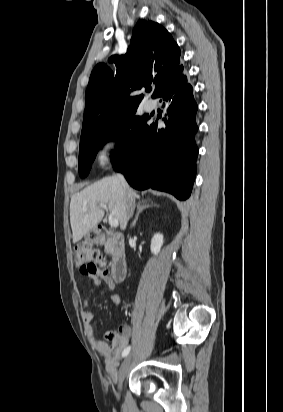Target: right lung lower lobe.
Here are the masks:
<instances>
[{
  "label": "right lung lower lobe",
  "instance_id": "1",
  "mask_svg": "<svg viewBox=\"0 0 283 412\" xmlns=\"http://www.w3.org/2000/svg\"><path fill=\"white\" fill-rule=\"evenodd\" d=\"M192 92L187 79L166 86L158 97L167 109L165 128L157 129L155 124L146 122L127 154L113 162L114 169L124 173L133 188L169 192L179 200L190 196L198 153V107Z\"/></svg>",
  "mask_w": 283,
  "mask_h": 412
}]
</instances>
